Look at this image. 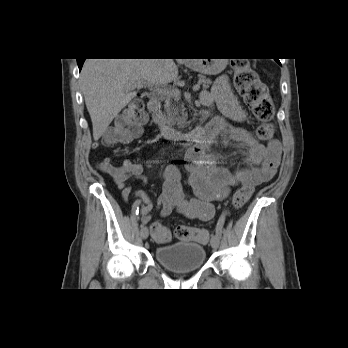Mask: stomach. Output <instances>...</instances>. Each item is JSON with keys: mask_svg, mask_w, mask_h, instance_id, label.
Masks as SVG:
<instances>
[{"mask_svg": "<svg viewBox=\"0 0 348 348\" xmlns=\"http://www.w3.org/2000/svg\"><path fill=\"white\" fill-rule=\"evenodd\" d=\"M227 61V59H194L190 67L203 75H217L225 69Z\"/></svg>", "mask_w": 348, "mask_h": 348, "instance_id": "stomach-1", "label": "stomach"}]
</instances>
